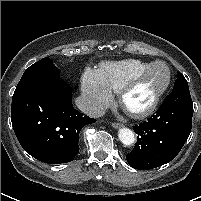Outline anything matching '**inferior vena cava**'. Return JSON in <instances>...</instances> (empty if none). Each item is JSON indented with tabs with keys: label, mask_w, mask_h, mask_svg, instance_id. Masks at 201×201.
<instances>
[{
	"label": "inferior vena cava",
	"mask_w": 201,
	"mask_h": 201,
	"mask_svg": "<svg viewBox=\"0 0 201 201\" xmlns=\"http://www.w3.org/2000/svg\"><path fill=\"white\" fill-rule=\"evenodd\" d=\"M76 105L83 113L93 118H98L105 114V108L102 105L85 96H79L76 99Z\"/></svg>",
	"instance_id": "1"
}]
</instances>
